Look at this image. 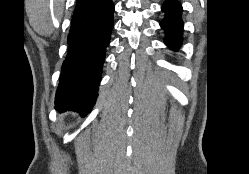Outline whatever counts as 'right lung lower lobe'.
<instances>
[{
	"label": "right lung lower lobe",
	"instance_id": "98d812e1",
	"mask_svg": "<svg viewBox=\"0 0 249 174\" xmlns=\"http://www.w3.org/2000/svg\"><path fill=\"white\" fill-rule=\"evenodd\" d=\"M112 0L76 7L68 35V55L56 93V108L86 116L93 108L113 29Z\"/></svg>",
	"mask_w": 249,
	"mask_h": 174
}]
</instances>
